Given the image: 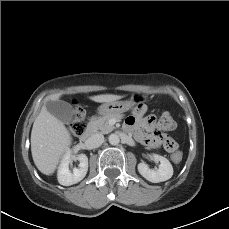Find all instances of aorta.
<instances>
[{"label":"aorta","mask_w":229,"mask_h":229,"mask_svg":"<svg viewBox=\"0 0 229 229\" xmlns=\"http://www.w3.org/2000/svg\"><path fill=\"white\" fill-rule=\"evenodd\" d=\"M108 139L111 145H118L120 142V138L117 134H111Z\"/></svg>","instance_id":"762f6f07"}]
</instances>
